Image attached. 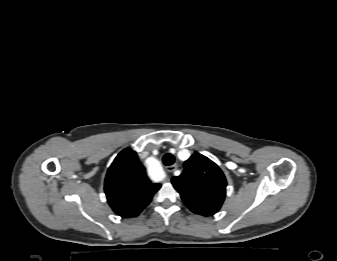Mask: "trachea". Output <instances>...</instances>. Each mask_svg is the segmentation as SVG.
<instances>
[{
  "label": "trachea",
  "instance_id": "trachea-1",
  "mask_svg": "<svg viewBox=\"0 0 337 261\" xmlns=\"http://www.w3.org/2000/svg\"><path fill=\"white\" fill-rule=\"evenodd\" d=\"M175 162V158L172 154L167 153L163 156V163L167 166L172 165Z\"/></svg>",
  "mask_w": 337,
  "mask_h": 261
}]
</instances>
